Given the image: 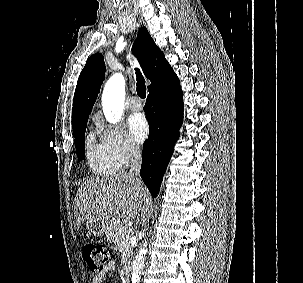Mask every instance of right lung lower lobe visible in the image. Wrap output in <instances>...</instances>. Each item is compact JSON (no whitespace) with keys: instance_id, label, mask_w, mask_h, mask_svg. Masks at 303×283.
Segmentation results:
<instances>
[{"instance_id":"1","label":"right lung lower lobe","mask_w":303,"mask_h":283,"mask_svg":"<svg viewBox=\"0 0 303 283\" xmlns=\"http://www.w3.org/2000/svg\"><path fill=\"white\" fill-rule=\"evenodd\" d=\"M144 110L150 132L143 145L140 175L156 197L183 121V93L177 76L149 92Z\"/></svg>"}]
</instances>
